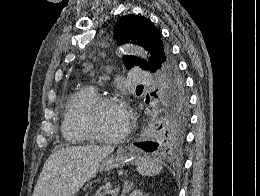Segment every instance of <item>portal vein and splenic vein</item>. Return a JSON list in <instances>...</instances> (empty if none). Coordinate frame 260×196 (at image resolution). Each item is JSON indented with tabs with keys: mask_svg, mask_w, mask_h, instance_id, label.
<instances>
[{
	"mask_svg": "<svg viewBox=\"0 0 260 196\" xmlns=\"http://www.w3.org/2000/svg\"><path fill=\"white\" fill-rule=\"evenodd\" d=\"M116 190H117V191H120V190H121V187H120V186H117V187H116ZM113 196H117V194H113Z\"/></svg>",
	"mask_w": 260,
	"mask_h": 196,
	"instance_id": "obj_1",
	"label": "portal vein and splenic vein"
}]
</instances>
